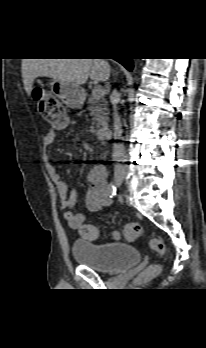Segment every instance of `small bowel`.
<instances>
[{
  "label": "small bowel",
  "instance_id": "c3829d8e",
  "mask_svg": "<svg viewBox=\"0 0 206 348\" xmlns=\"http://www.w3.org/2000/svg\"><path fill=\"white\" fill-rule=\"evenodd\" d=\"M55 139V132L48 131L42 144L49 148ZM48 173L57 188L60 205L63 209L64 218L71 228H80L84 225L87 215L102 212L111 204V199L107 193L106 172L103 166H93L87 176L89 186L85 195V213H74L73 207L77 201V191L70 190L67 183L62 180L58 171L51 165H47Z\"/></svg>",
  "mask_w": 206,
  "mask_h": 348
}]
</instances>
